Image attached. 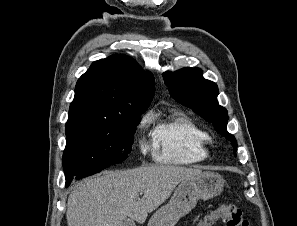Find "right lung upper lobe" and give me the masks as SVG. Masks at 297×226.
Returning <instances> with one entry per match:
<instances>
[{"instance_id":"right-lung-upper-lobe-1","label":"right lung upper lobe","mask_w":297,"mask_h":226,"mask_svg":"<svg viewBox=\"0 0 297 226\" xmlns=\"http://www.w3.org/2000/svg\"><path fill=\"white\" fill-rule=\"evenodd\" d=\"M154 87L152 73L126 55L95 61L77 81L67 122H118L126 108L148 107Z\"/></svg>"}]
</instances>
